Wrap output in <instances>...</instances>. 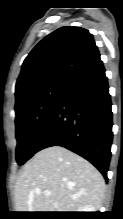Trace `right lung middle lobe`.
I'll use <instances>...</instances> for the list:
<instances>
[{
  "label": "right lung middle lobe",
  "instance_id": "dd1d6c3e",
  "mask_svg": "<svg viewBox=\"0 0 123 219\" xmlns=\"http://www.w3.org/2000/svg\"><path fill=\"white\" fill-rule=\"evenodd\" d=\"M66 84H50L38 88L16 101V160L24 164L37 151V143L54 109L59 103Z\"/></svg>",
  "mask_w": 123,
  "mask_h": 219
}]
</instances>
